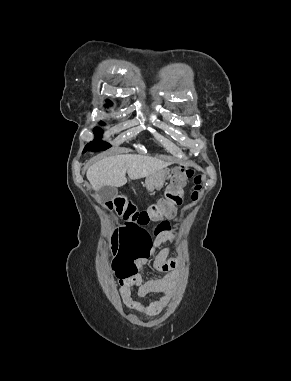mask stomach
Returning a JSON list of instances; mask_svg holds the SVG:
<instances>
[{"instance_id": "obj_1", "label": "stomach", "mask_w": 291, "mask_h": 381, "mask_svg": "<svg viewBox=\"0 0 291 381\" xmlns=\"http://www.w3.org/2000/svg\"><path fill=\"white\" fill-rule=\"evenodd\" d=\"M179 171V169H177ZM168 170H161L149 176L145 180V185L148 191L160 190L165 183L166 178L169 176Z\"/></svg>"}]
</instances>
